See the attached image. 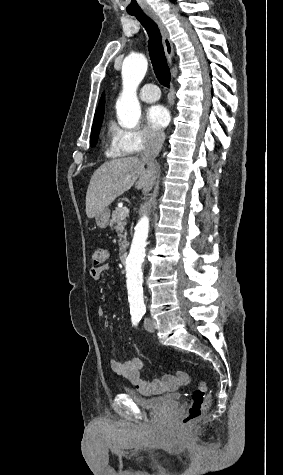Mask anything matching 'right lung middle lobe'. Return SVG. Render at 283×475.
<instances>
[{
  "label": "right lung middle lobe",
  "instance_id": "1",
  "mask_svg": "<svg viewBox=\"0 0 283 475\" xmlns=\"http://www.w3.org/2000/svg\"><path fill=\"white\" fill-rule=\"evenodd\" d=\"M104 115V105L98 106L94 116V122L91 131V140L90 145L91 147L95 146L97 143L100 127L103 121Z\"/></svg>",
  "mask_w": 283,
  "mask_h": 475
}]
</instances>
